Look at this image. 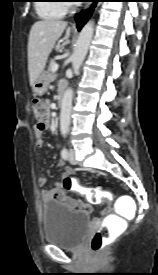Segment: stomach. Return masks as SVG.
Listing matches in <instances>:
<instances>
[{
	"mask_svg": "<svg viewBox=\"0 0 158 275\" xmlns=\"http://www.w3.org/2000/svg\"><path fill=\"white\" fill-rule=\"evenodd\" d=\"M49 79L46 72H42L32 85L33 92L36 95H43L48 88Z\"/></svg>",
	"mask_w": 158,
	"mask_h": 275,
	"instance_id": "0dacf381",
	"label": "stomach"
}]
</instances>
